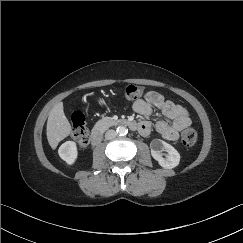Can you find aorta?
Listing matches in <instances>:
<instances>
[{"mask_svg": "<svg viewBox=\"0 0 243 243\" xmlns=\"http://www.w3.org/2000/svg\"><path fill=\"white\" fill-rule=\"evenodd\" d=\"M117 134L120 136H124L128 133V129L124 126H119L116 130Z\"/></svg>", "mask_w": 243, "mask_h": 243, "instance_id": "762f6f07", "label": "aorta"}]
</instances>
